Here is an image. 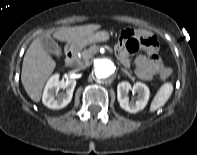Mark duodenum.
Instances as JSON below:
<instances>
[{
  "instance_id": "410a0bca",
  "label": "duodenum",
  "mask_w": 197,
  "mask_h": 155,
  "mask_svg": "<svg viewBox=\"0 0 197 155\" xmlns=\"http://www.w3.org/2000/svg\"><path fill=\"white\" fill-rule=\"evenodd\" d=\"M76 57V49L75 47H68L65 51L64 63L66 65H71Z\"/></svg>"
}]
</instances>
